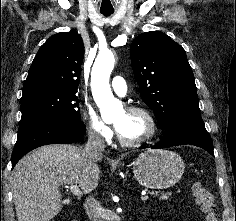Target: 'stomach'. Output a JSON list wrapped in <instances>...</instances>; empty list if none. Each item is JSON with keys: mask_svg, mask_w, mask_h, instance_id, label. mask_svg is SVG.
Listing matches in <instances>:
<instances>
[{"mask_svg": "<svg viewBox=\"0 0 236 221\" xmlns=\"http://www.w3.org/2000/svg\"><path fill=\"white\" fill-rule=\"evenodd\" d=\"M184 162L175 152L147 150L134 160L133 173L137 181L150 189H166L175 185L184 173Z\"/></svg>", "mask_w": 236, "mask_h": 221, "instance_id": "stomach-1", "label": "stomach"}]
</instances>
